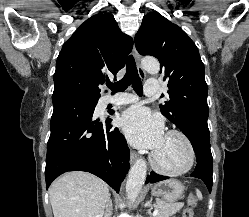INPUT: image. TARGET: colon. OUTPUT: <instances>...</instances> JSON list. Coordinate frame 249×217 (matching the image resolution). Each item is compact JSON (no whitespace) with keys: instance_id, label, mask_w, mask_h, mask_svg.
I'll list each match as a JSON object with an SVG mask.
<instances>
[{"instance_id":"colon-1","label":"colon","mask_w":249,"mask_h":217,"mask_svg":"<svg viewBox=\"0 0 249 217\" xmlns=\"http://www.w3.org/2000/svg\"><path fill=\"white\" fill-rule=\"evenodd\" d=\"M196 203L197 197L195 195H190L188 198V206L184 209L182 217H193Z\"/></svg>"}]
</instances>
